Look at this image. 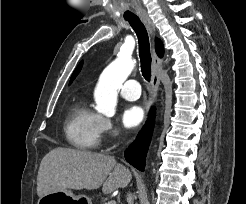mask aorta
I'll list each match as a JSON object with an SVG mask.
<instances>
[{
    "label": "aorta",
    "instance_id": "aorta-1",
    "mask_svg": "<svg viewBox=\"0 0 246 204\" xmlns=\"http://www.w3.org/2000/svg\"><path fill=\"white\" fill-rule=\"evenodd\" d=\"M135 61L130 57L120 56L101 74L95 90L96 110L112 117L116 111L118 89L132 72Z\"/></svg>",
    "mask_w": 246,
    "mask_h": 204
}]
</instances>
